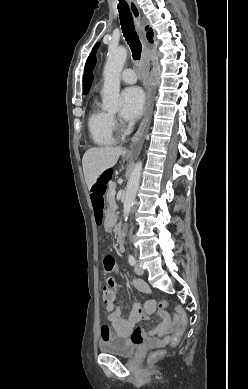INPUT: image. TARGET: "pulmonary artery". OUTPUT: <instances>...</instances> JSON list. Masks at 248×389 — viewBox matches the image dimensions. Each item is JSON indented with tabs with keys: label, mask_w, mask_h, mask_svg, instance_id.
<instances>
[{
	"label": "pulmonary artery",
	"mask_w": 248,
	"mask_h": 389,
	"mask_svg": "<svg viewBox=\"0 0 248 389\" xmlns=\"http://www.w3.org/2000/svg\"><path fill=\"white\" fill-rule=\"evenodd\" d=\"M121 79L125 83H135L137 80L136 72L131 68L125 69L121 73Z\"/></svg>",
	"instance_id": "1"
}]
</instances>
